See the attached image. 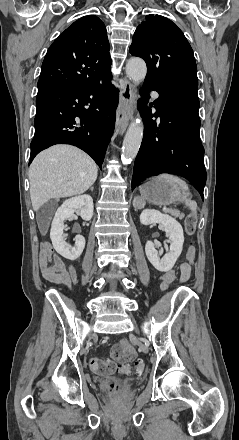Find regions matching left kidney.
Segmentation results:
<instances>
[{
	"instance_id": "5707ae66",
	"label": "left kidney",
	"mask_w": 239,
	"mask_h": 440,
	"mask_svg": "<svg viewBox=\"0 0 239 440\" xmlns=\"http://www.w3.org/2000/svg\"><path fill=\"white\" fill-rule=\"evenodd\" d=\"M140 222L144 226L161 224L166 232V236H169L170 250L167 254H164L163 258H160L162 254H158V250H155L153 242H146L145 246L146 256L152 266L158 272H169L183 250L184 236L181 224L175 218H171L167 214H161L158 210H143Z\"/></svg>"
}]
</instances>
